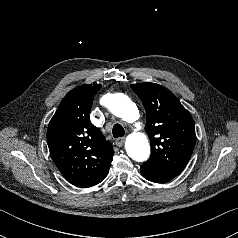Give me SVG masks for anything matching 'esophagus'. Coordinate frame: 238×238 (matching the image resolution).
<instances>
[{
	"label": "esophagus",
	"mask_w": 238,
	"mask_h": 238,
	"mask_svg": "<svg viewBox=\"0 0 238 238\" xmlns=\"http://www.w3.org/2000/svg\"><path fill=\"white\" fill-rule=\"evenodd\" d=\"M124 141H125L124 137H119L115 140V144L118 147H122L124 144Z\"/></svg>",
	"instance_id": "obj_1"
}]
</instances>
